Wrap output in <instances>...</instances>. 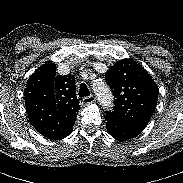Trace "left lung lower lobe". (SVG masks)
I'll return each mask as SVG.
<instances>
[{
    "instance_id": "obj_1",
    "label": "left lung lower lobe",
    "mask_w": 183,
    "mask_h": 183,
    "mask_svg": "<svg viewBox=\"0 0 183 183\" xmlns=\"http://www.w3.org/2000/svg\"><path fill=\"white\" fill-rule=\"evenodd\" d=\"M104 117L107 121V131L112 137L120 141L136 137L145 128L142 125L127 123L107 115Z\"/></svg>"
}]
</instances>
